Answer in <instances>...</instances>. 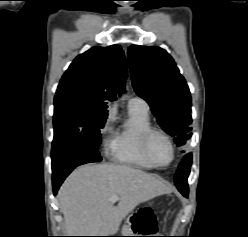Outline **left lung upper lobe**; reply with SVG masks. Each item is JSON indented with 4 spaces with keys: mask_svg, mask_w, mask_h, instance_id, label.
I'll list each match as a JSON object with an SVG mask.
<instances>
[{
    "mask_svg": "<svg viewBox=\"0 0 248 237\" xmlns=\"http://www.w3.org/2000/svg\"><path fill=\"white\" fill-rule=\"evenodd\" d=\"M132 83L137 95L151 107L162 129L181 146L192 135L191 96L172 57L159 47L128 48ZM189 173L176 174L179 182Z\"/></svg>",
    "mask_w": 248,
    "mask_h": 237,
    "instance_id": "obj_1",
    "label": "left lung upper lobe"
}]
</instances>
